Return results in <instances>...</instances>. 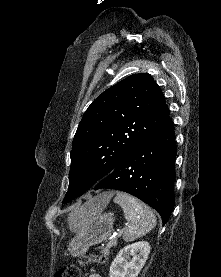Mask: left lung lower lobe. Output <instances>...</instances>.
Wrapping results in <instances>:
<instances>
[{"instance_id":"left-lung-lower-lobe-1","label":"left lung lower lobe","mask_w":221,"mask_h":277,"mask_svg":"<svg viewBox=\"0 0 221 277\" xmlns=\"http://www.w3.org/2000/svg\"><path fill=\"white\" fill-rule=\"evenodd\" d=\"M176 152L173 123L168 117L93 188L129 193L156 209L165 224L174 207Z\"/></svg>"}]
</instances>
